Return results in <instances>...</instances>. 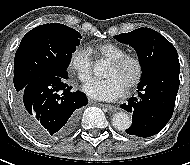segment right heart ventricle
Listing matches in <instances>:
<instances>
[{
    "label": "right heart ventricle",
    "instance_id": "obj_1",
    "mask_svg": "<svg viewBox=\"0 0 190 165\" xmlns=\"http://www.w3.org/2000/svg\"><path fill=\"white\" fill-rule=\"evenodd\" d=\"M89 51L94 52L109 61H113L127 55V52L123 47L114 43H102L89 48Z\"/></svg>",
    "mask_w": 190,
    "mask_h": 165
}]
</instances>
